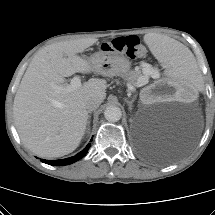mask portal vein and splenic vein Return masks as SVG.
<instances>
[{"instance_id": "portal-vein-and-splenic-vein-1", "label": "portal vein and splenic vein", "mask_w": 215, "mask_h": 215, "mask_svg": "<svg viewBox=\"0 0 215 215\" xmlns=\"http://www.w3.org/2000/svg\"><path fill=\"white\" fill-rule=\"evenodd\" d=\"M152 77L156 79L159 77V74L157 72H153ZM138 83H139V86H143L148 83V79L146 77H144V78L141 77V79L138 81ZM80 86H81V79L79 76H75L71 79L70 84H67L66 86L56 87V89L58 91L70 92V91H73V90L79 88Z\"/></svg>"}]
</instances>
